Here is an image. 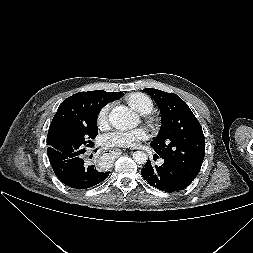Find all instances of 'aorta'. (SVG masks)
I'll return each mask as SVG.
<instances>
[{"mask_svg":"<svg viewBox=\"0 0 253 253\" xmlns=\"http://www.w3.org/2000/svg\"><path fill=\"white\" fill-rule=\"evenodd\" d=\"M111 125L118 130L135 128L139 123L138 116L130 109L124 106H116L109 114ZM133 159L137 164H144L147 161V155L142 151L133 153Z\"/></svg>","mask_w":253,"mask_h":253,"instance_id":"aorta-1","label":"aorta"}]
</instances>
